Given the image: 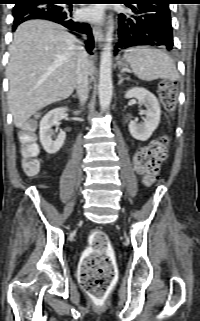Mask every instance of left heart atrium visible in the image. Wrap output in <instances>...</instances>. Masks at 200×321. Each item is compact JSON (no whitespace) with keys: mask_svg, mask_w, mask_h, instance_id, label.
<instances>
[{"mask_svg":"<svg viewBox=\"0 0 200 321\" xmlns=\"http://www.w3.org/2000/svg\"><path fill=\"white\" fill-rule=\"evenodd\" d=\"M83 16L87 19H98L100 17V11L98 9H87L83 11Z\"/></svg>","mask_w":200,"mask_h":321,"instance_id":"39dd6f15","label":"left heart atrium"}]
</instances>
